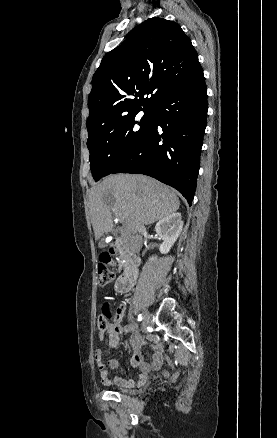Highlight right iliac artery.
Wrapping results in <instances>:
<instances>
[{
	"label": "right iliac artery",
	"mask_w": 277,
	"mask_h": 438,
	"mask_svg": "<svg viewBox=\"0 0 277 438\" xmlns=\"http://www.w3.org/2000/svg\"><path fill=\"white\" fill-rule=\"evenodd\" d=\"M137 319H138V321H142V319H143V318H142V315L139 314L138 317H137Z\"/></svg>",
	"instance_id": "obj_1"
}]
</instances>
